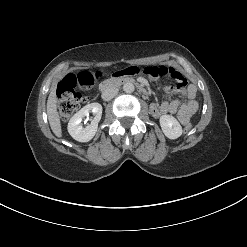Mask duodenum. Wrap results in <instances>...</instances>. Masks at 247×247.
<instances>
[{"mask_svg": "<svg viewBox=\"0 0 247 247\" xmlns=\"http://www.w3.org/2000/svg\"><path fill=\"white\" fill-rule=\"evenodd\" d=\"M126 83L135 84L140 93L144 95L147 94V90L142 84L137 83L134 79L129 78V77H114V78L108 79L100 85V91L104 93L111 88H114V87H117V86H120Z\"/></svg>", "mask_w": 247, "mask_h": 247, "instance_id": "obj_1", "label": "duodenum"}]
</instances>
